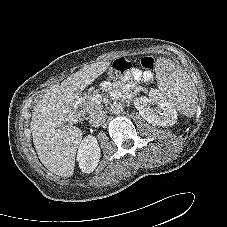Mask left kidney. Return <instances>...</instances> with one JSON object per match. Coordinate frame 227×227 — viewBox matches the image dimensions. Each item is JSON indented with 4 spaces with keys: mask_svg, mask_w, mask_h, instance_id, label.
I'll return each mask as SVG.
<instances>
[{
    "mask_svg": "<svg viewBox=\"0 0 227 227\" xmlns=\"http://www.w3.org/2000/svg\"><path fill=\"white\" fill-rule=\"evenodd\" d=\"M151 104L156 105V108H151ZM134 105L142 118L154 126H172L177 122L175 108L156 89H151L148 97L141 96L135 98Z\"/></svg>",
    "mask_w": 227,
    "mask_h": 227,
    "instance_id": "obj_1",
    "label": "left kidney"
}]
</instances>
